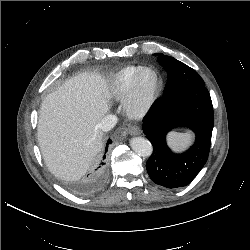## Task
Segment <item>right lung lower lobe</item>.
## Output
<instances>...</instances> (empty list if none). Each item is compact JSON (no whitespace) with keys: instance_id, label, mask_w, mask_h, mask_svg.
I'll use <instances>...</instances> for the list:
<instances>
[{"instance_id":"right-lung-lower-lobe-1","label":"right lung lower lobe","mask_w":250,"mask_h":250,"mask_svg":"<svg viewBox=\"0 0 250 250\" xmlns=\"http://www.w3.org/2000/svg\"><path fill=\"white\" fill-rule=\"evenodd\" d=\"M111 139H108L107 144H106V149H105V154L108 150V146L109 144H111ZM106 158V155H104L103 157V161L100 163V165L97 167L95 175H94V179H93V188H96L98 185H100L103 180L105 179V175H106V166H105V161L104 159Z\"/></svg>"}]
</instances>
